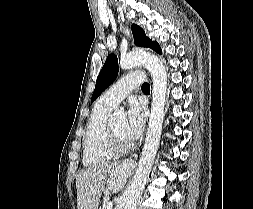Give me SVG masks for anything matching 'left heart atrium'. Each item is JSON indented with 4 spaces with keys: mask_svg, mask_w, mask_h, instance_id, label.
<instances>
[{
    "mask_svg": "<svg viewBox=\"0 0 253 209\" xmlns=\"http://www.w3.org/2000/svg\"><path fill=\"white\" fill-rule=\"evenodd\" d=\"M144 121L145 113L143 107L136 100L131 101L124 129L125 137L130 143L141 136Z\"/></svg>",
    "mask_w": 253,
    "mask_h": 209,
    "instance_id": "39dd6f15",
    "label": "left heart atrium"
}]
</instances>
